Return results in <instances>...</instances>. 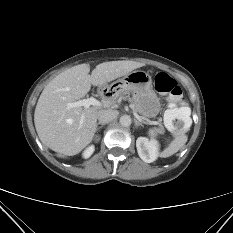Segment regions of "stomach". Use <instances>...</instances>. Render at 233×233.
I'll list each match as a JSON object with an SVG mask.
<instances>
[{
  "label": "stomach",
  "mask_w": 233,
  "mask_h": 233,
  "mask_svg": "<svg viewBox=\"0 0 233 233\" xmlns=\"http://www.w3.org/2000/svg\"><path fill=\"white\" fill-rule=\"evenodd\" d=\"M105 88L116 96L125 92L132 93L135 110L146 118H154L160 112V99L153 90L151 76L145 71H132Z\"/></svg>",
  "instance_id": "0dacf381"
}]
</instances>
